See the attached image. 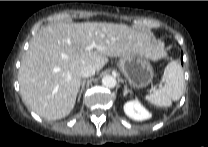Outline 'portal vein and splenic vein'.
Wrapping results in <instances>:
<instances>
[{
	"instance_id": "1",
	"label": "portal vein and splenic vein",
	"mask_w": 208,
	"mask_h": 147,
	"mask_svg": "<svg viewBox=\"0 0 208 147\" xmlns=\"http://www.w3.org/2000/svg\"><path fill=\"white\" fill-rule=\"evenodd\" d=\"M95 47H96L95 42H92V44L86 48V51H90V50H92Z\"/></svg>"
}]
</instances>
